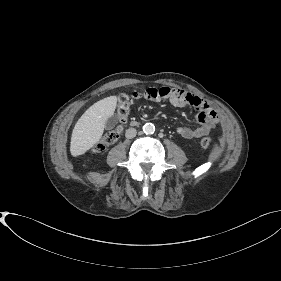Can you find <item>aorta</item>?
<instances>
[{
	"instance_id": "obj_1",
	"label": "aorta",
	"mask_w": 281,
	"mask_h": 281,
	"mask_svg": "<svg viewBox=\"0 0 281 281\" xmlns=\"http://www.w3.org/2000/svg\"><path fill=\"white\" fill-rule=\"evenodd\" d=\"M143 131L145 134H153L155 132V126L152 123H146L143 126Z\"/></svg>"
}]
</instances>
